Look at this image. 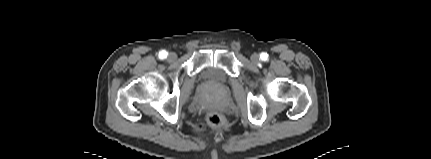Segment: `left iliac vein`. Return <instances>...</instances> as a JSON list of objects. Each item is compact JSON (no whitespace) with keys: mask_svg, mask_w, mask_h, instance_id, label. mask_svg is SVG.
I'll return each instance as SVG.
<instances>
[{"mask_svg":"<svg viewBox=\"0 0 431 159\" xmlns=\"http://www.w3.org/2000/svg\"><path fill=\"white\" fill-rule=\"evenodd\" d=\"M250 59L253 63H257L259 61V56L257 54H252Z\"/></svg>","mask_w":431,"mask_h":159,"instance_id":"left-iliac-vein-1","label":"left iliac vein"}]
</instances>
